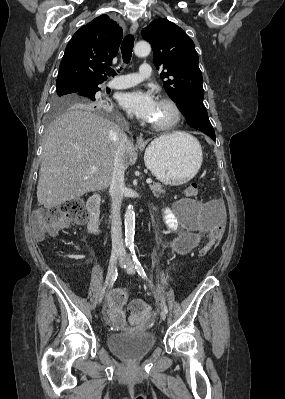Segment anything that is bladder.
I'll return each instance as SVG.
<instances>
[{
	"label": "bladder",
	"instance_id": "bladder-1",
	"mask_svg": "<svg viewBox=\"0 0 285 399\" xmlns=\"http://www.w3.org/2000/svg\"><path fill=\"white\" fill-rule=\"evenodd\" d=\"M195 203L189 199H180L176 202L179 212L188 209ZM109 349L124 360H136L148 355L156 344L155 336L148 331L137 333H110L107 338Z\"/></svg>",
	"mask_w": 285,
	"mask_h": 399
}]
</instances>
